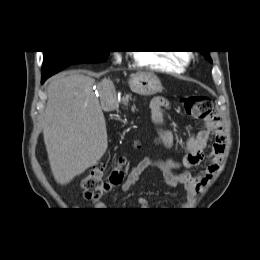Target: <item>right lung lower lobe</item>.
Returning <instances> with one entry per match:
<instances>
[{"label": "right lung lower lobe", "mask_w": 260, "mask_h": 260, "mask_svg": "<svg viewBox=\"0 0 260 260\" xmlns=\"http://www.w3.org/2000/svg\"><path fill=\"white\" fill-rule=\"evenodd\" d=\"M47 78H48V77L42 76L41 82L44 83V81H45Z\"/></svg>", "instance_id": "right-lung-lower-lobe-1"}]
</instances>
